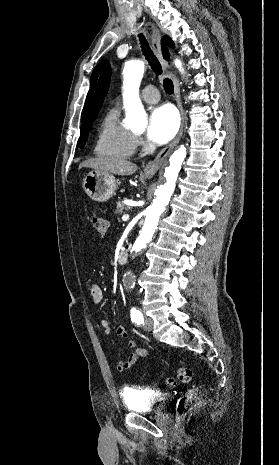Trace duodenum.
I'll return each mask as SVG.
<instances>
[{"instance_id": "410a0bca", "label": "duodenum", "mask_w": 279, "mask_h": 465, "mask_svg": "<svg viewBox=\"0 0 279 465\" xmlns=\"http://www.w3.org/2000/svg\"><path fill=\"white\" fill-rule=\"evenodd\" d=\"M129 249H130V246L126 245L118 253L117 260L120 264H125L127 262Z\"/></svg>"}]
</instances>
